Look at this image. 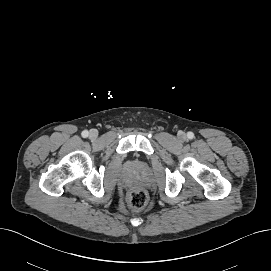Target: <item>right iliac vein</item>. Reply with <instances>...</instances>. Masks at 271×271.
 Returning a JSON list of instances; mask_svg holds the SVG:
<instances>
[{"label":"right iliac vein","mask_w":271,"mask_h":271,"mask_svg":"<svg viewBox=\"0 0 271 271\" xmlns=\"http://www.w3.org/2000/svg\"><path fill=\"white\" fill-rule=\"evenodd\" d=\"M89 137L91 139H96L98 137V131L96 129H91L89 132Z\"/></svg>","instance_id":"right-iliac-vein-1"}]
</instances>
